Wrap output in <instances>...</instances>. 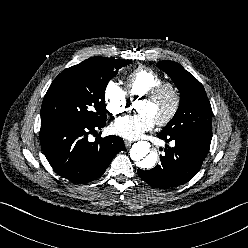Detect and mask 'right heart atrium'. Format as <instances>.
Wrapping results in <instances>:
<instances>
[{"label":"right heart atrium","mask_w":248,"mask_h":248,"mask_svg":"<svg viewBox=\"0 0 248 248\" xmlns=\"http://www.w3.org/2000/svg\"><path fill=\"white\" fill-rule=\"evenodd\" d=\"M104 100L108 112L119 116L129 108V101L124 90L115 82H109L104 91Z\"/></svg>","instance_id":"1"}]
</instances>
